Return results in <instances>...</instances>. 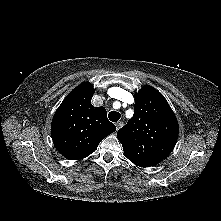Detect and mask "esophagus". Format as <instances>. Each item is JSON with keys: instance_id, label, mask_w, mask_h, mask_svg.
<instances>
[{"instance_id": "esophagus-1", "label": "esophagus", "mask_w": 221, "mask_h": 221, "mask_svg": "<svg viewBox=\"0 0 221 221\" xmlns=\"http://www.w3.org/2000/svg\"><path fill=\"white\" fill-rule=\"evenodd\" d=\"M123 126V122L122 121H119L116 123V129L117 131Z\"/></svg>"}]
</instances>
